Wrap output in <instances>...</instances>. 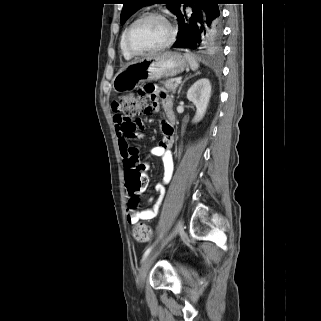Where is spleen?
Here are the masks:
<instances>
[{"label": "spleen", "instance_id": "obj_1", "mask_svg": "<svg viewBox=\"0 0 321 321\" xmlns=\"http://www.w3.org/2000/svg\"><path fill=\"white\" fill-rule=\"evenodd\" d=\"M184 57L186 58L188 64L190 65V68L192 70H197L199 67V64L197 63L194 55L192 53H190L189 51H186L184 53Z\"/></svg>", "mask_w": 321, "mask_h": 321}]
</instances>
